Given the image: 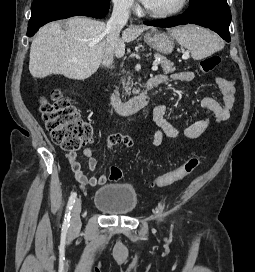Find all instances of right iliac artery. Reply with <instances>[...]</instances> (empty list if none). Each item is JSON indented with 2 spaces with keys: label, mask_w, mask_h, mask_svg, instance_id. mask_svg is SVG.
I'll return each instance as SVG.
<instances>
[{
  "label": "right iliac artery",
  "mask_w": 255,
  "mask_h": 272,
  "mask_svg": "<svg viewBox=\"0 0 255 272\" xmlns=\"http://www.w3.org/2000/svg\"><path fill=\"white\" fill-rule=\"evenodd\" d=\"M76 197H77V194L74 192L71 194L70 198H69V201H68V204H67V209H66V214H65V217H64V221H63V225H62V231L63 232H67L68 228H69V225H70V211L76 201Z\"/></svg>",
  "instance_id": "82829eb1"
}]
</instances>
